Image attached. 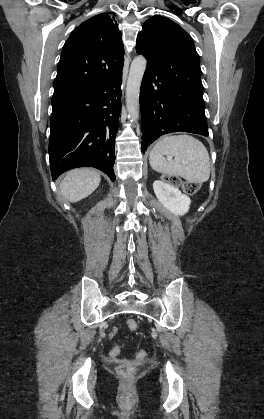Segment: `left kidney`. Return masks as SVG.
<instances>
[{
    "instance_id": "5707ae66",
    "label": "left kidney",
    "mask_w": 264,
    "mask_h": 419,
    "mask_svg": "<svg viewBox=\"0 0 264 419\" xmlns=\"http://www.w3.org/2000/svg\"><path fill=\"white\" fill-rule=\"evenodd\" d=\"M154 193L159 202L171 213L175 215H184L190 208V198L182 192L161 180L153 183Z\"/></svg>"
}]
</instances>
